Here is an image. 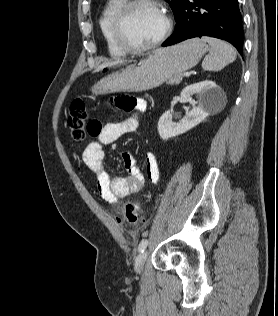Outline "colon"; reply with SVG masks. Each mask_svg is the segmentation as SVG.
<instances>
[{
    "mask_svg": "<svg viewBox=\"0 0 278 316\" xmlns=\"http://www.w3.org/2000/svg\"><path fill=\"white\" fill-rule=\"evenodd\" d=\"M68 127L70 136L76 143L83 142L87 134H97L100 129L98 123L88 120L87 105L81 99L74 100L70 105ZM117 219L130 225H137L142 219L140 204L137 201L127 202L124 205L122 216Z\"/></svg>",
    "mask_w": 278,
    "mask_h": 316,
    "instance_id": "1",
    "label": "colon"
}]
</instances>
